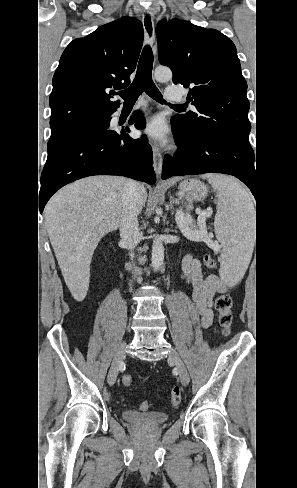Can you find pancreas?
Returning <instances> with one entry per match:
<instances>
[{"label": "pancreas", "mask_w": 297, "mask_h": 488, "mask_svg": "<svg viewBox=\"0 0 297 488\" xmlns=\"http://www.w3.org/2000/svg\"><path fill=\"white\" fill-rule=\"evenodd\" d=\"M192 228H195V224H193V222L191 224H189Z\"/></svg>", "instance_id": "1"}]
</instances>
